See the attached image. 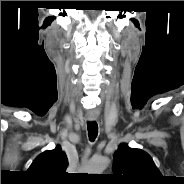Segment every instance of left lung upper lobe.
I'll return each instance as SVG.
<instances>
[{"label": "left lung upper lobe", "instance_id": "5c2ea615", "mask_svg": "<svg viewBox=\"0 0 184 184\" xmlns=\"http://www.w3.org/2000/svg\"><path fill=\"white\" fill-rule=\"evenodd\" d=\"M112 180L117 184H160L162 175L145 151L123 143L114 154Z\"/></svg>", "mask_w": 184, "mask_h": 184}]
</instances>
